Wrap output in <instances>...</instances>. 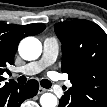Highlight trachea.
Instances as JSON below:
<instances>
[{
	"instance_id": "1",
	"label": "trachea",
	"mask_w": 107,
	"mask_h": 107,
	"mask_svg": "<svg viewBox=\"0 0 107 107\" xmlns=\"http://www.w3.org/2000/svg\"><path fill=\"white\" fill-rule=\"evenodd\" d=\"M18 82L23 84L26 82V78L22 76V77L18 78ZM40 84L44 88H50L52 86V83L46 79L41 80Z\"/></svg>"
}]
</instances>
